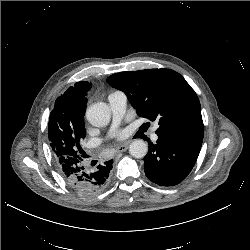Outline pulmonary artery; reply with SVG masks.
<instances>
[{
    "label": "pulmonary artery",
    "instance_id": "1",
    "mask_svg": "<svg viewBox=\"0 0 250 250\" xmlns=\"http://www.w3.org/2000/svg\"><path fill=\"white\" fill-rule=\"evenodd\" d=\"M108 102L112 111V118H113V127L118 124V122L123 117L126 106H127V97L121 91H115L109 94ZM155 130V129H154ZM158 136L154 132L152 134V140L157 141Z\"/></svg>",
    "mask_w": 250,
    "mask_h": 250
}]
</instances>
